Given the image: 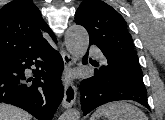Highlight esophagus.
Returning <instances> with one entry per match:
<instances>
[{"instance_id": "obj_1", "label": "esophagus", "mask_w": 165, "mask_h": 120, "mask_svg": "<svg viewBox=\"0 0 165 120\" xmlns=\"http://www.w3.org/2000/svg\"><path fill=\"white\" fill-rule=\"evenodd\" d=\"M62 59L66 68H70L75 65V59L70 56L67 52H61ZM77 95V87L72 81H67L64 88V97L62 101V106L64 108H69L75 103Z\"/></svg>"}]
</instances>
